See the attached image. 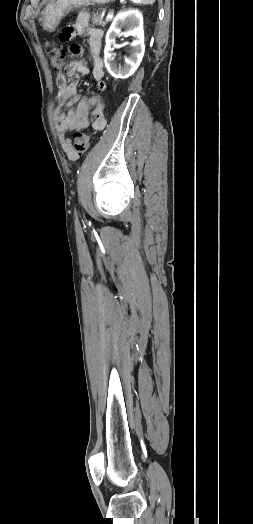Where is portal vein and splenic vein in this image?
I'll use <instances>...</instances> for the list:
<instances>
[{
  "instance_id": "portal-vein-and-splenic-vein-1",
  "label": "portal vein and splenic vein",
  "mask_w": 253,
  "mask_h": 524,
  "mask_svg": "<svg viewBox=\"0 0 253 524\" xmlns=\"http://www.w3.org/2000/svg\"><path fill=\"white\" fill-rule=\"evenodd\" d=\"M114 13L112 11H109L106 17V20H110L113 18Z\"/></svg>"
}]
</instances>
